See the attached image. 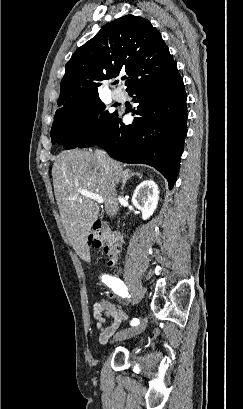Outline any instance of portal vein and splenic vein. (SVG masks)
<instances>
[{
  "mask_svg": "<svg viewBox=\"0 0 243 409\" xmlns=\"http://www.w3.org/2000/svg\"><path fill=\"white\" fill-rule=\"evenodd\" d=\"M77 193H80L82 196H84L86 198H90V199L96 201L97 203H103L104 202V198L101 195L95 194V193L90 192L88 190L79 188V189H77Z\"/></svg>",
  "mask_w": 243,
  "mask_h": 409,
  "instance_id": "1",
  "label": "portal vein and splenic vein"
}]
</instances>
